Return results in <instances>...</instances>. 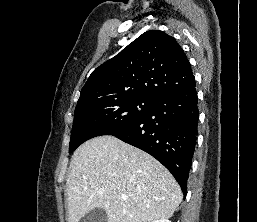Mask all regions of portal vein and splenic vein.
<instances>
[{"label": "portal vein and splenic vein", "instance_id": "1", "mask_svg": "<svg viewBox=\"0 0 257 222\" xmlns=\"http://www.w3.org/2000/svg\"><path fill=\"white\" fill-rule=\"evenodd\" d=\"M127 198V196L125 194H121V199L125 200Z\"/></svg>", "mask_w": 257, "mask_h": 222}]
</instances>
